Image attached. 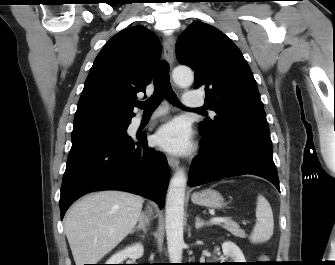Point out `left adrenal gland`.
<instances>
[{
  "instance_id": "obj_1",
  "label": "left adrenal gland",
  "mask_w": 335,
  "mask_h": 265,
  "mask_svg": "<svg viewBox=\"0 0 335 265\" xmlns=\"http://www.w3.org/2000/svg\"><path fill=\"white\" fill-rule=\"evenodd\" d=\"M209 225H211L210 222H205L204 220H201L199 216H196L195 218V228L196 229H200L203 226H209Z\"/></svg>"
}]
</instances>
